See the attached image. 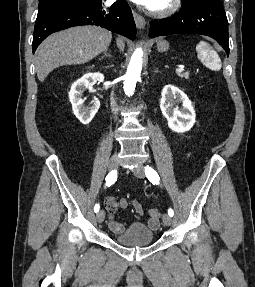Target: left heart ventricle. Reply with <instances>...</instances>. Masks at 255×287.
Returning <instances> with one entry per match:
<instances>
[{"mask_svg": "<svg viewBox=\"0 0 255 287\" xmlns=\"http://www.w3.org/2000/svg\"><path fill=\"white\" fill-rule=\"evenodd\" d=\"M149 33H162V32H149ZM144 39H160V38H144ZM136 48H166V47H136Z\"/></svg>", "mask_w": 255, "mask_h": 287, "instance_id": "1", "label": "left heart ventricle"}]
</instances>
